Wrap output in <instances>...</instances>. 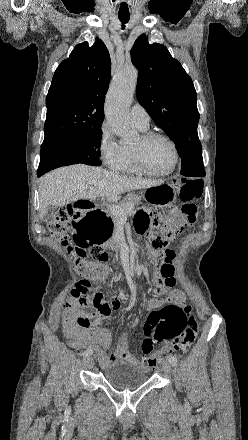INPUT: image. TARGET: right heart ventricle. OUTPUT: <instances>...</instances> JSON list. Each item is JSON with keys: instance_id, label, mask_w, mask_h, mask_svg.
I'll list each match as a JSON object with an SVG mask.
<instances>
[{"instance_id": "e07e8e85", "label": "right heart ventricle", "mask_w": 248, "mask_h": 440, "mask_svg": "<svg viewBox=\"0 0 248 440\" xmlns=\"http://www.w3.org/2000/svg\"><path fill=\"white\" fill-rule=\"evenodd\" d=\"M138 127V126H137ZM141 131L145 132L147 128L138 127ZM116 171L124 174H137L139 173L134 165L133 152L131 145H123V159Z\"/></svg>"}]
</instances>
